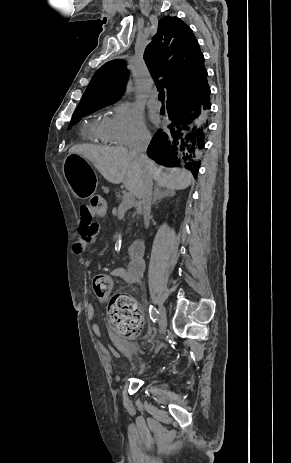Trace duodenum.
Instances as JSON below:
<instances>
[{
	"mask_svg": "<svg viewBox=\"0 0 291 463\" xmlns=\"http://www.w3.org/2000/svg\"><path fill=\"white\" fill-rule=\"evenodd\" d=\"M129 252L134 257L142 256L144 253V241L140 238L135 239L129 248Z\"/></svg>",
	"mask_w": 291,
	"mask_h": 463,
	"instance_id": "obj_1",
	"label": "duodenum"
}]
</instances>
